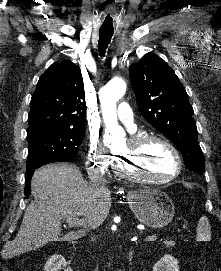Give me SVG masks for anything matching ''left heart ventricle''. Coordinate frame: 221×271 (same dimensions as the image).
Wrapping results in <instances>:
<instances>
[{"label": "left heart ventricle", "mask_w": 221, "mask_h": 271, "mask_svg": "<svg viewBox=\"0 0 221 271\" xmlns=\"http://www.w3.org/2000/svg\"><path fill=\"white\" fill-rule=\"evenodd\" d=\"M154 141L161 140L150 138L140 141L138 156H131L130 160L129 157H126V160H115V165H120L124 168V171L130 168L132 174H137V171H133V168H138L139 175H150L151 172H158L159 175L166 177H176V167L172 161L173 153H169L171 147H162L161 144H155Z\"/></svg>", "instance_id": "obj_1"}]
</instances>
